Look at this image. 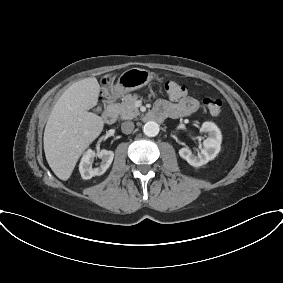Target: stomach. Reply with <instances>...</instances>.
Returning a JSON list of instances; mask_svg holds the SVG:
<instances>
[{
  "label": "stomach",
  "instance_id": "0dacf381",
  "mask_svg": "<svg viewBox=\"0 0 283 283\" xmlns=\"http://www.w3.org/2000/svg\"><path fill=\"white\" fill-rule=\"evenodd\" d=\"M153 77V73L145 69H128L120 75L116 85L112 88V94L120 97L131 91L138 90L147 85Z\"/></svg>",
  "mask_w": 283,
  "mask_h": 283
}]
</instances>
